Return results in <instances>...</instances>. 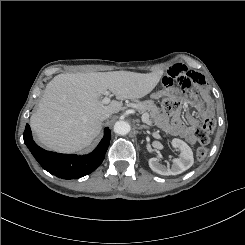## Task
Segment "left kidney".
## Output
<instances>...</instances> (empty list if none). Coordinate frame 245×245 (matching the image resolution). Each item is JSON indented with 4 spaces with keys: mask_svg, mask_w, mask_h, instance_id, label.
Segmentation results:
<instances>
[{
    "mask_svg": "<svg viewBox=\"0 0 245 245\" xmlns=\"http://www.w3.org/2000/svg\"><path fill=\"white\" fill-rule=\"evenodd\" d=\"M171 144L174 148H178L181 151L180 158L173 159L171 166L170 164L163 165L157 158L149 159V167L160 175L168 176L181 174L194 163L193 152L187 143L181 139L174 138Z\"/></svg>",
    "mask_w": 245,
    "mask_h": 245,
    "instance_id": "1",
    "label": "left kidney"
}]
</instances>
